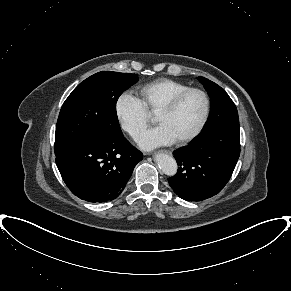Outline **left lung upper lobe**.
I'll return each instance as SVG.
<instances>
[{
  "label": "left lung upper lobe",
  "instance_id": "5c2ea615",
  "mask_svg": "<svg viewBox=\"0 0 291 291\" xmlns=\"http://www.w3.org/2000/svg\"><path fill=\"white\" fill-rule=\"evenodd\" d=\"M198 80L203 84L210 96L211 111L204 129L196 138L204 137L217 129H239L236 106L225 90L207 78L198 77Z\"/></svg>",
  "mask_w": 291,
  "mask_h": 291
}]
</instances>
